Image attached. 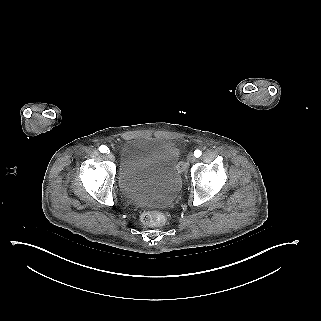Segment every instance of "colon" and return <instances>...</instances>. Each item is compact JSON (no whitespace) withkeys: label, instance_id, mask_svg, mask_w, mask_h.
Masks as SVG:
<instances>
[{"label":"colon","instance_id":"5ec220e1","mask_svg":"<svg viewBox=\"0 0 321 321\" xmlns=\"http://www.w3.org/2000/svg\"><path fill=\"white\" fill-rule=\"evenodd\" d=\"M143 224L148 226H160L166 221V214L162 211H145L140 217Z\"/></svg>","mask_w":321,"mask_h":321}]
</instances>
